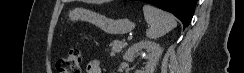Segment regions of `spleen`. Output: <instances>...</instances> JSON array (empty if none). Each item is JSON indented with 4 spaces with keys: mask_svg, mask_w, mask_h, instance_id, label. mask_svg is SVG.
Segmentation results:
<instances>
[{
    "mask_svg": "<svg viewBox=\"0 0 244 73\" xmlns=\"http://www.w3.org/2000/svg\"><path fill=\"white\" fill-rule=\"evenodd\" d=\"M144 18L148 23L146 36L149 39H158L177 26L174 16L152 5L143 6Z\"/></svg>",
    "mask_w": 244,
    "mask_h": 73,
    "instance_id": "obj_1",
    "label": "spleen"
}]
</instances>
